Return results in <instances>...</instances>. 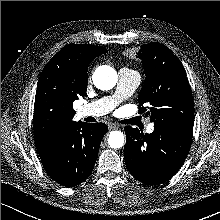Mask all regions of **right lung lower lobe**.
Here are the masks:
<instances>
[{
	"mask_svg": "<svg viewBox=\"0 0 220 220\" xmlns=\"http://www.w3.org/2000/svg\"><path fill=\"white\" fill-rule=\"evenodd\" d=\"M107 131L104 123L79 122L37 147L46 173L65 187L85 181L92 173L101 140Z\"/></svg>",
	"mask_w": 220,
	"mask_h": 220,
	"instance_id": "98d812e1",
	"label": "right lung lower lobe"
}]
</instances>
